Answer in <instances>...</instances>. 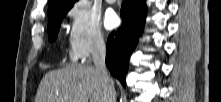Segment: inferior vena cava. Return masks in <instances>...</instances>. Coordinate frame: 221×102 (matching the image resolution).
I'll return each instance as SVG.
<instances>
[{
  "label": "inferior vena cava",
  "instance_id": "inferior-vena-cava-1",
  "mask_svg": "<svg viewBox=\"0 0 221 102\" xmlns=\"http://www.w3.org/2000/svg\"><path fill=\"white\" fill-rule=\"evenodd\" d=\"M91 54L95 67L102 72L105 82L109 84L108 102H116V93L114 87L112 86V80L108 74V69L106 67V48L101 34H97L95 36Z\"/></svg>",
  "mask_w": 221,
  "mask_h": 102
}]
</instances>
